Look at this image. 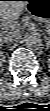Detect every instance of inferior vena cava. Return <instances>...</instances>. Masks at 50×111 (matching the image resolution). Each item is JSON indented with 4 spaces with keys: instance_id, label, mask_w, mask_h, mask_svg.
Instances as JSON below:
<instances>
[{
    "instance_id": "1",
    "label": "inferior vena cava",
    "mask_w": 50,
    "mask_h": 111,
    "mask_svg": "<svg viewBox=\"0 0 50 111\" xmlns=\"http://www.w3.org/2000/svg\"><path fill=\"white\" fill-rule=\"evenodd\" d=\"M21 32L20 31H10L4 34L3 41L6 43H12L15 41H19L21 39Z\"/></svg>"
}]
</instances>
